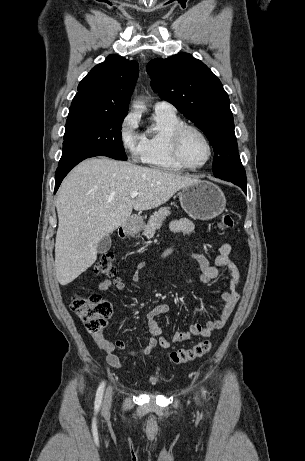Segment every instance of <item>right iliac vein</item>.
<instances>
[{"instance_id":"63e3f726","label":"right iliac vein","mask_w":305,"mask_h":461,"mask_svg":"<svg viewBox=\"0 0 305 461\" xmlns=\"http://www.w3.org/2000/svg\"><path fill=\"white\" fill-rule=\"evenodd\" d=\"M111 401H112V389L108 388L105 393L104 403H103V406L105 409H107L110 406Z\"/></svg>"}]
</instances>
